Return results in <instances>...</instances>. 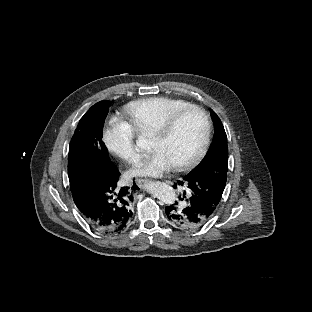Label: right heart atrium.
I'll use <instances>...</instances> for the list:
<instances>
[{
  "label": "right heart atrium",
  "instance_id": "d8ad5b80",
  "mask_svg": "<svg viewBox=\"0 0 312 312\" xmlns=\"http://www.w3.org/2000/svg\"><path fill=\"white\" fill-rule=\"evenodd\" d=\"M104 143L110 155L120 163L135 165L141 159L142 146L135 130L126 122L114 121L105 131Z\"/></svg>",
  "mask_w": 312,
  "mask_h": 312
}]
</instances>
